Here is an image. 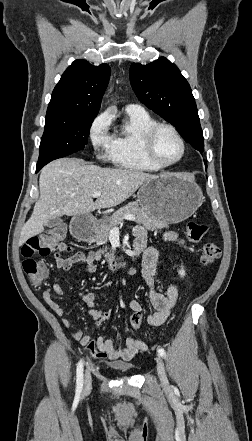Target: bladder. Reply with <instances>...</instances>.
<instances>
[{
	"label": "bladder",
	"mask_w": 252,
	"mask_h": 441,
	"mask_svg": "<svg viewBox=\"0 0 252 441\" xmlns=\"http://www.w3.org/2000/svg\"><path fill=\"white\" fill-rule=\"evenodd\" d=\"M111 367L119 371H128L132 369L133 365L130 363H113Z\"/></svg>",
	"instance_id": "1"
}]
</instances>
